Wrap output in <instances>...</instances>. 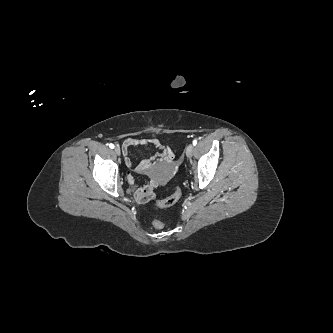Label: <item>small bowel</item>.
I'll return each mask as SVG.
<instances>
[{
    "instance_id": "1",
    "label": "small bowel",
    "mask_w": 333,
    "mask_h": 333,
    "mask_svg": "<svg viewBox=\"0 0 333 333\" xmlns=\"http://www.w3.org/2000/svg\"><path fill=\"white\" fill-rule=\"evenodd\" d=\"M153 145L159 149V153L149 159L142 160L137 165H133L130 158V149L137 146ZM122 151L125 156V164L128 168L139 174H149L160 166L173 168L174 153L170 147L164 146L158 139L150 138H127L122 144ZM130 184H134L135 180L128 175ZM159 187V183L155 180L151 181L145 187L134 191V197L139 203H146L154 198L155 190Z\"/></svg>"
}]
</instances>
